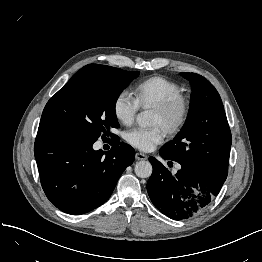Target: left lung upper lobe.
Masks as SVG:
<instances>
[{
	"mask_svg": "<svg viewBox=\"0 0 262 262\" xmlns=\"http://www.w3.org/2000/svg\"><path fill=\"white\" fill-rule=\"evenodd\" d=\"M192 85L190 109L184 127L160 151L205 177L227 172L231 132L215 87L196 73L182 72Z\"/></svg>",
	"mask_w": 262,
	"mask_h": 262,
	"instance_id": "obj_1",
	"label": "left lung upper lobe"
}]
</instances>
